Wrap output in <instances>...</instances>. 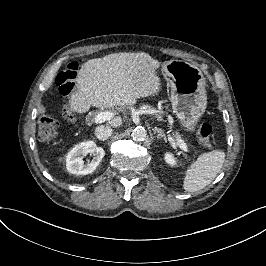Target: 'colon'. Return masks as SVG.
Here are the masks:
<instances>
[{"instance_id":"1","label":"colon","mask_w":266,"mask_h":266,"mask_svg":"<svg viewBox=\"0 0 266 266\" xmlns=\"http://www.w3.org/2000/svg\"><path fill=\"white\" fill-rule=\"evenodd\" d=\"M78 70L77 62H70L57 78V86L62 94H69L75 86V78ZM39 136L42 140H50L56 133L57 120L48 114H44L38 120ZM197 133L201 143L210 147L212 127L210 124L201 122L197 125Z\"/></svg>"}]
</instances>
